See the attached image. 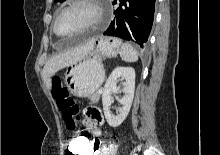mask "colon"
<instances>
[{"label": "colon", "mask_w": 220, "mask_h": 155, "mask_svg": "<svg viewBox=\"0 0 220 155\" xmlns=\"http://www.w3.org/2000/svg\"><path fill=\"white\" fill-rule=\"evenodd\" d=\"M52 95L57 106L62 111L66 127L69 130H88V125H77L79 108L69 96L67 88L59 77H54L52 81ZM81 135H74L73 139H69L68 146H64L67 155H91L90 147L93 142L90 136L86 135V131H81ZM101 142L95 143V150H99ZM110 147L109 145L107 146Z\"/></svg>", "instance_id": "1"}]
</instances>
